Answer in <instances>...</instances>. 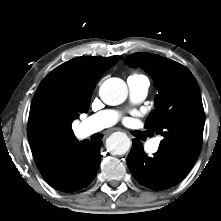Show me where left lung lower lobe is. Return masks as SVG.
<instances>
[{"label":"left lung lower lobe","instance_id":"left-lung-lower-lobe-1","mask_svg":"<svg viewBox=\"0 0 221 221\" xmlns=\"http://www.w3.org/2000/svg\"><path fill=\"white\" fill-rule=\"evenodd\" d=\"M127 165L140 184L154 190H165L184 178V175L158 151L148 157L137 139L132 140Z\"/></svg>","mask_w":221,"mask_h":221}]
</instances>
